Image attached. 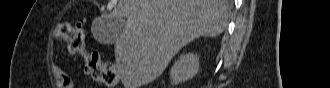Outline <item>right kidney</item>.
<instances>
[{"label":"right kidney","mask_w":330,"mask_h":88,"mask_svg":"<svg viewBox=\"0 0 330 88\" xmlns=\"http://www.w3.org/2000/svg\"><path fill=\"white\" fill-rule=\"evenodd\" d=\"M199 57L192 53L181 55L170 72L171 83L177 85L187 81L199 71Z\"/></svg>","instance_id":"right-kidney-1"}]
</instances>
